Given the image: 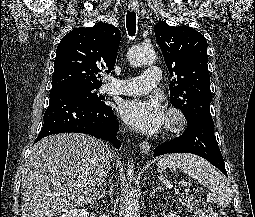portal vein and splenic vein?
<instances>
[{"instance_id":"portal-vein-and-splenic-vein-1","label":"portal vein and splenic vein","mask_w":255,"mask_h":217,"mask_svg":"<svg viewBox=\"0 0 255 217\" xmlns=\"http://www.w3.org/2000/svg\"><path fill=\"white\" fill-rule=\"evenodd\" d=\"M185 191H186V192H189V191H190V189H189V188H186V189H185Z\"/></svg>"}]
</instances>
